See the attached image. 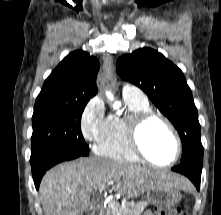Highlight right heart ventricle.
<instances>
[{"instance_id": "obj_1", "label": "right heart ventricle", "mask_w": 221, "mask_h": 215, "mask_svg": "<svg viewBox=\"0 0 221 215\" xmlns=\"http://www.w3.org/2000/svg\"><path fill=\"white\" fill-rule=\"evenodd\" d=\"M127 114H112L106 118L104 131L95 144L98 155L121 162H138L140 160L130 149L126 137V121L134 113L149 110L147 98L136 99L123 97Z\"/></svg>"}]
</instances>
